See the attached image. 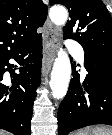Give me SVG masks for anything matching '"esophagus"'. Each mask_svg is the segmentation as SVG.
Here are the masks:
<instances>
[{"mask_svg":"<svg viewBox=\"0 0 112 135\" xmlns=\"http://www.w3.org/2000/svg\"><path fill=\"white\" fill-rule=\"evenodd\" d=\"M59 31L54 27L50 21L47 22L44 31L45 47L43 52L42 75L44 76L51 69L52 63L55 59L56 52L59 48L58 43Z\"/></svg>","mask_w":112,"mask_h":135,"instance_id":"1","label":"esophagus"}]
</instances>
